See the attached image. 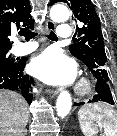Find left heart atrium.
<instances>
[{"mask_svg": "<svg viewBox=\"0 0 117 136\" xmlns=\"http://www.w3.org/2000/svg\"><path fill=\"white\" fill-rule=\"evenodd\" d=\"M30 70L38 79L53 85L69 83L76 74L74 62L55 48L47 49L37 56Z\"/></svg>", "mask_w": 117, "mask_h": 136, "instance_id": "obj_1", "label": "left heart atrium"}]
</instances>
